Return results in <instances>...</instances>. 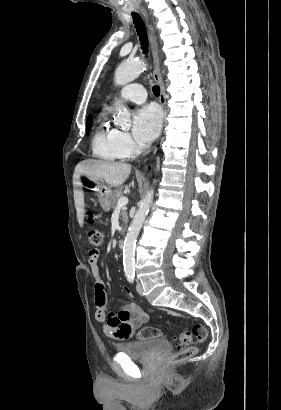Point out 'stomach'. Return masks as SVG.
<instances>
[{
  "label": "stomach",
  "instance_id": "obj_1",
  "mask_svg": "<svg viewBox=\"0 0 281 410\" xmlns=\"http://www.w3.org/2000/svg\"><path fill=\"white\" fill-rule=\"evenodd\" d=\"M79 183L81 187L96 191L99 203L104 211L108 212L112 207L113 192L105 184L103 179H93L83 173L80 174Z\"/></svg>",
  "mask_w": 281,
  "mask_h": 410
}]
</instances>
